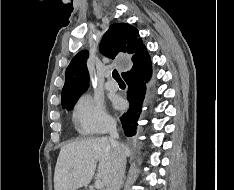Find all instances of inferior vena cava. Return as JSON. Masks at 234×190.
<instances>
[{
    "mask_svg": "<svg viewBox=\"0 0 234 190\" xmlns=\"http://www.w3.org/2000/svg\"><path fill=\"white\" fill-rule=\"evenodd\" d=\"M109 134V140L113 148V166L106 190H120L125 172L126 157L124 150L117 142L119 135L115 122L110 124Z\"/></svg>",
    "mask_w": 234,
    "mask_h": 190,
    "instance_id": "1",
    "label": "inferior vena cava"
}]
</instances>
